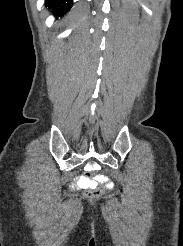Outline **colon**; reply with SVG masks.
<instances>
[{"instance_id": "5ec220e1", "label": "colon", "mask_w": 183, "mask_h": 246, "mask_svg": "<svg viewBox=\"0 0 183 246\" xmlns=\"http://www.w3.org/2000/svg\"><path fill=\"white\" fill-rule=\"evenodd\" d=\"M85 174L88 175V179H91L92 175L96 174V170H85ZM106 183L107 182H94L93 181V185L87 187L88 189L85 191L84 196L87 199L98 197L102 193L103 187H106Z\"/></svg>"}]
</instances>
